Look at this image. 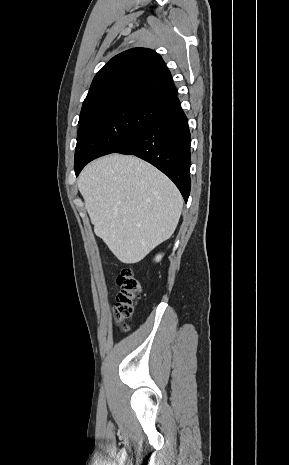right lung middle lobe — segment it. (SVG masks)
I'll return each mask as SVG.
<instances>
[{
  "label": "right lung middle lobe",
  "instance_id": "right-lung-middle-lobe-1",
  "mask_svg": "<svg viewBox=\"0 0 289 465\" xmlns=\"http://www.w3.org/2000/svg\"><path fill=\"white\" fill-rule=\"evenodd\" d=\"M161 104L124 101L96 111L78 130L75 165L113 153L145 127L160 111Z\"/></svg>",
  "mask_w": 289,
  "mask_h": 465
}]
</instances>
